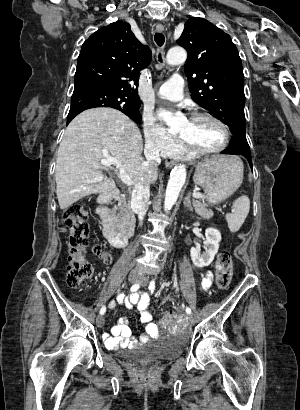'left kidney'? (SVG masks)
I'll list each match as a JSON object with an SVG mask.
<instances>
[{
    "label": "left kidney",
    "instance_id": "5707ae66",
    "mask_svg": "<svg viewBox=\"0 0 300 410\" xmlns=\"http://www.w3.org/2000/svg\"><path fill=\"white\" fill-rule=\"evenodd\" d=\"M220 241L221 233L215 228H207L203 242L205 252H201L199 247H192L190 250L193 264L198 268L209 266L218 252Z\"/></svg>",
    "mask_w": 300,
    "mask_h": 410
}]
</instances>
